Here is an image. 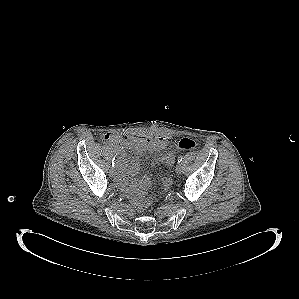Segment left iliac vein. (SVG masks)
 Returning a JSON list of instances; mask_svg holds the SVG:
<instances>
[{
  "mask_svg": "<svg viewBox=\"0 0 299 299\" xmlns=\"http://www.w3.org/2000/svg\"><path fill=\"white\" fill-rule=\"evenodd\" d=\"M182 170H183V166H182V164L178 163L177 166H176V171H177V173H181Z\"/></svg>",
  "mask_w": 299,
  "mask_h": 299,
  "instance_id": "4c4485c4",
  "label": "left iliac vein"
}]
</instances>
